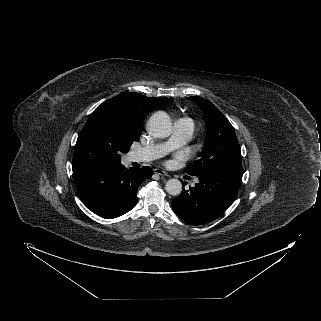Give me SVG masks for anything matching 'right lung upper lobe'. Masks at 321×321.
Masks as SVG:
<instances>
[{
	"mask_svg": "<svg viewBox=\"0 0 321 321\" xmlns=\"http://www.w3.org/2000/svg\"><path fill=\"white\" fill-rule=\"evenodd\" d=\"M170 98H150L134 92L121 93L95 110L112 114L120 123L140 135L142 123L153 109L169 103Z\"/></svg>",
	"mask_w": 321,
	"mask_h": 321,
	"instance_id": "obj_1",
	"label": "right lung upper lobe"
}]
</instances>
